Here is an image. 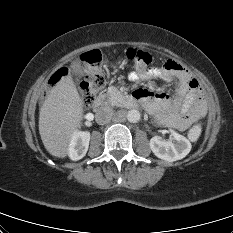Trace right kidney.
<instances>
[{
    "label": "right kidney",
    "instance_id": "obj_1",
    "mask_svg": "<svg viewBox=\"0 0 233 233\" xmlns=\"http://www.w3.org/2000/svg\"><path fill=\"white\" fill-rule=\"evenodd\" d=\"M90 133L87 131H76L73 133L69 143V157L73 161L82 159L89 147Z\"/></svg>",
    "mask_w": 233,
    "mask_h": 233
}]
</instances>
